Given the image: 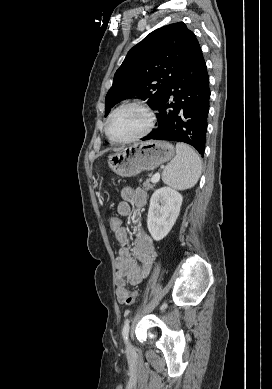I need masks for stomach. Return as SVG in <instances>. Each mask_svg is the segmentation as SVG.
I'll list each match as a JSON object with an SVG mask.
<instances>
[{"instance_id": "stomach-1", "label": "stomach", "mask_w": 272, "mask_h": 389, "mask_svg": "<svg viewBox=\"0 0 272 389\" xmlns=\"http://www.w3.org/2000/svg\"><path fill=\"white\" fill-rule=\"evenodd\" d=\"M173 145L166 141L149 140L136 143L109 156V167L121 177H132L144 170H153L171 160Z\"/></svg>"}]
</instances>
